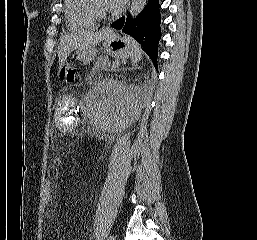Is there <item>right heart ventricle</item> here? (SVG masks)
Returning <instances> with one entry per match:
<instances>
[{"instance_id":"1","label":"right heart ventricle","mask_w":257,"mask_h":240,"mask_svg":"<svg viewBox=\"0 0 257 240\" xmlns=\"http://www.w3.org/2000/svg\"><path fill=\"white\" fill-rule=\"evenodd\" d=\"M65 17L72 30L91 29L98 24V20L86 9L85 0H65Z\"/></svg>"}]
</instances>
